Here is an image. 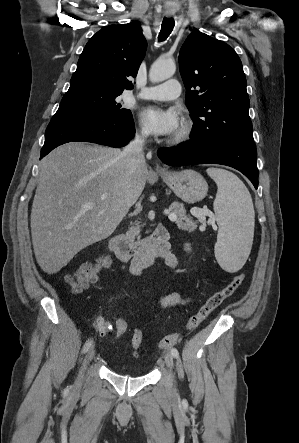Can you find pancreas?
Masks as SVG:
<instances>
[{
	"mask_svg": "<svg viewBox=\"0 0 299 443\" xmlns=\"http://www.w3.org/2000/svg\"><path fill=\"white\" fill-rule=\"evenodd\" d=\"M170 210L176 214L177 218L175 223L177 224L179 229L187 230L189 232L195 231L197 228L196 222L193 221V218L186 214V210L183 209V205L179 203H173L170 207ZM204 214L199 212L196 217L204 224L203 228H205ZM136 226H131L126 233V236L129 238H140V226L139 223L136 222Z\"/></svg>",
	"mask_w": 299,
	"mask_h": 443,
	"instance_id": "1",
	"label": "pancreas"
}]
</instances>
